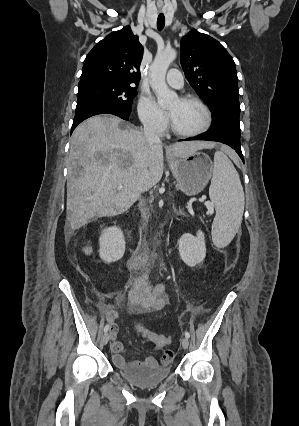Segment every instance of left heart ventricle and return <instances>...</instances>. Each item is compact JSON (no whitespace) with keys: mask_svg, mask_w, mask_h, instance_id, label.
<instances>
[{"mask_svg":"<svg viewBox=\"0 0 299 426\" xmlns=\"http://www.w3.org/2000/svg\"><path fill=\"white\" fill-rule=\"evenodd\" d=\"M168 110L174 125L179 130L194 131L204 123V113L196 103L175 99L168 106Z\"/></svg>","mask_w":299,"mask_h":426,"instance_id":"b2bd125f","label":"left heart ventricle"}]
</instances>
